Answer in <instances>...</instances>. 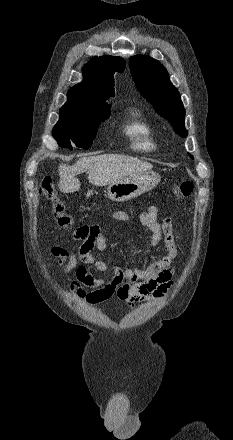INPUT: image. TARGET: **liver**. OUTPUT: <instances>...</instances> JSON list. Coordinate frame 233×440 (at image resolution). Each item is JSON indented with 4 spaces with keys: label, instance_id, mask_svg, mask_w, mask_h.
Here are the masks:
<instances>
[{
    "label": "liver",
    "instance_id": "obj_1",
    "mask_svg": "<svg viewBox=\"0 0 233 440\" xmlns=\"http://www.w3.org/2000/svg\"><path fill=\"white\" fill-rule=\"evenodd\" d=\"M151 163L134 157L117 154H105L80 158L74 165L62 164L58 167L60 191L76 192L80 189L77 175L89 171L88 180L95 186L110 185L135 173L150 171Z\"/></svg>",
    "mask_w": 233,
    "mask_h": 440
}]
</instances>
